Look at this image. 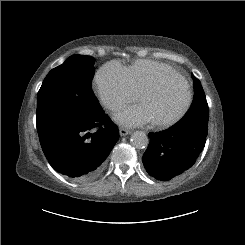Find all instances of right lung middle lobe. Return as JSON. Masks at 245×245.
<instances>
[{
	"instance_id": "obj_1",
	"label": "right lung middle lobe",
	"mask_w": 245,
	"mask_h": 245,
	"mask_svg": "<svg viewBox=\"0 0 245 245\" xmlns=\"http://www.w3.org/2000/svg\"><path fill=\"white\" fill-rule=\"evenodd\" d=\"M94 61L73 55L52 69L38 92L37 131L69 118L95 115L101 108L91 90Z\"/></svg>"
}]
</instances>
